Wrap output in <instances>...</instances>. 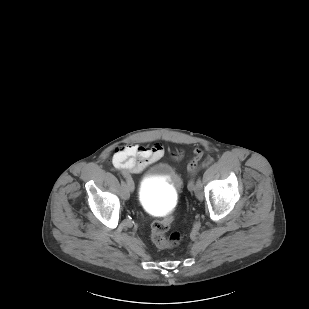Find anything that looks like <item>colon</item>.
<instances>
[{
	"mask_svg": "<svg viewBox=\"0 0 309 309\" xmlns=\"http://www.w3.org/2000/svg\"><path fill=\"white\" fill-rule=\"evenodd\" d=\"M203 156V150L198 148L194 151L192 159L187 165L189 176H193L199 166V162ZM173 217L172 214L163 216L161 219L156 220L151 225V239L153 243L160 249H169L176 247L180 244L182 234L179 231H173L167 235Z\"/></svg>",
	"mask_w": 309,
	"mask_h": 309,
	"instance_id": "obj_1",
	"label": "colon"
}]
</instances>
